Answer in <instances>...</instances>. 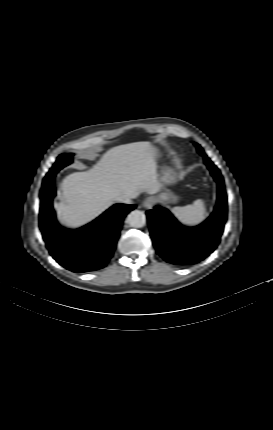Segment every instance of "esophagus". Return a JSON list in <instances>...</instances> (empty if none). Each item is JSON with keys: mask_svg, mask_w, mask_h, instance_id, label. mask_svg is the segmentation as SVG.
Masks as SVG:
<instances>
[{"mask_svg": "<svg viewBox=\"0 0 273 430\" xmlns=\"http://www.w3.org/2000/svg\"><path fill=\"white\" fill-rule=\"evenodd\" d=\"M155 202H156L155 197H152V196H151V197H147V198L143 201L142 206H143L145 209H151V208L154 206Z\"/></svg>", "mask_w": 273, "mask_h": 430, "instance_id": "esophagus-1", "label": "esophagus"}]
</instances>
